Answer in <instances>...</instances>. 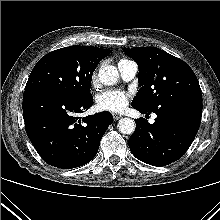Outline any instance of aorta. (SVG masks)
Returning <instances> with one entry per match:
<instances>
[{
    "instance_id": "762f6f07",
    "label": "aorta",
    "mask_w": 220,
    "mask_h": 220,
    "mask_svg": "<svg viewBox=\"0 0 220 220\" xmlns=\"http://www.w3.org/2000/svg\"><path fill=\"white\" fill-rule=\"evenodd\" d=\"M99 80L104 85H114L119 79V73L115 66L104 65L98 72ZM122 134H132L135 131V121L131 118H122L117 125Z\"/></svg>"
}]
</instances>
